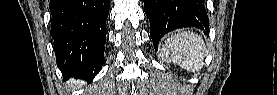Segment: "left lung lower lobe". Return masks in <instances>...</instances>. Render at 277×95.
Returning a JSON list of instances; mask_svg holds the SVG:
<instances>
[{"mask_svg": "<svg viewBox=\"0 0 277 95\" xmlns=\"http://www.w3.org/2000/svg\"><path fill=\"white\" fill-rule=\"evenodd\" d=\"M144 9L155 50L169 31L183 27L207 30L209 26L203 0H144Z\"/></svg>", "mask_w": 277, "mask_h": 95, "instance_id": "0a47b994", "label": "left lung lower lobe"}]
</instances>
